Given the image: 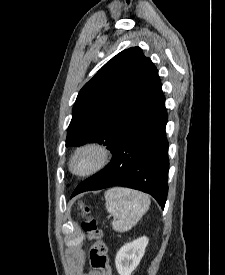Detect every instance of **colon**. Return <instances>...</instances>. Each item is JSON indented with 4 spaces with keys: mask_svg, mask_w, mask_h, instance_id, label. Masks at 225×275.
<instances>
[{
    "mask_svg": "<svg viewBox=\"0 0 225 275\" xmlns=\"http://www.w3.org/2000/svg\"><path fill=\"white\" fill-rule=\"evenodd\" d=\"M79 208L83 214L81 228L91 241V246L88 250L91 266L99 275H112V268L107 253V246L103 240L102 230L98 222L88 215L89 208L86 205L80 202Z\"/></svg>",
    "mask_w": 225,
    "mask_h": 275,
    "instance_id": "1",
    "label": "colon"
}]
</instances>
